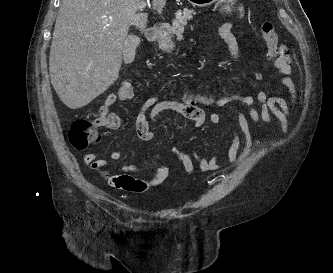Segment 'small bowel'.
I'll use <instances>...</instances> for the list:
<instances>
[{"label": "small bowel", "mask_w": 333, "mask_h": 273, "mask_svg": "<svg viewBox=\"0 0 333 273\" xmlns=\"http://www.w3.org/2000/svg\"><path fill=\"white\" fill-rule=\"evenodd\" d=\"M238 17L242 16L241 8L236 12ZM234 24L226 22L219 28V33L228 46L229 55L232 63L241 66L240 50L236 37L233 34ZM275 55V62H271L273 68L282 75L280 84L284 91H287L293 103L296 101V86L293 80L294 61L289 48L286 45H279ZM222 104H213V108L231 109L236 116V125L228 124V129L232 134V142L227 151V159L225 163H220L219 156L215 152L210 158L201 155L196 148L192 149V156L186 152H182L177 148H172L162 164L158 167L154 175L148 179H140L132 176V174L141 171L142 164H128L120 167L117 174L112 176L110 184L120 190L127 192H144L152 187L162 184L169 175L171 160H176L183 169L192 177H198L208 172L218 171L226 166L240 163L254 149L259 141H254L251 135L249 121L259 124L261 122L269 125H278L283 134L289 131L290 124V107L282 95L270 96L265 91L259 90L256 97H252L240 93H230L219 96ZM132 102L133 96L126 95L118 91L109 94L105 100H100L98 112L100 113V122H105V118H113L114 121L107 125L110 129H119L123 125L122 119L116 115V111H111V107L116 102ZM260 107L257 108L255 102ZM211 102V101H209ZM233 103H239L247 107V113ZM164 111H173L190 120L195 126H201L208 118L213 124H220L223 117L216 112L206 113L202 109H196L194 101L185 102L177 100L164 99L159 95H154L146 99L136 116L135 126L139 139L142 141H150L154 138L153 122L156 117ZM243 135L245 143L241 148V137ZM223 133L220 134V137ZM110 158L113 161H119L122 158L120 151H112ZM84 162L87 164L97 163L101 168L109 166L104 159H99L98 154L88 153L84 156Z\"/></svg>", "instance_id": "c3829d8e"}]
</instances>
